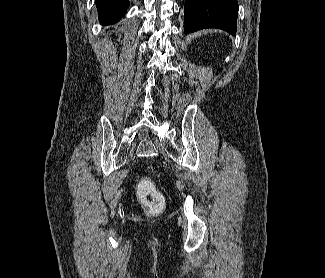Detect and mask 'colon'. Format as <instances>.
Here are the masks:
<instances>
[{"mask_svg":"<svg viewBox=\"0 0 325 278\" xmlns=\"http://www.w3.org/2000/svg\"><path fill=\"white\" fill-rule=\"evenodd\" d=\"M138 196L147 207L150 214L159 213L165 203L162 193L156 188L152 181L143 178L137 183Z\"/></svg>","mask_w":325,"mask_h":278,"instance_id":"colon-1","label":"colon"}]
</instances>
